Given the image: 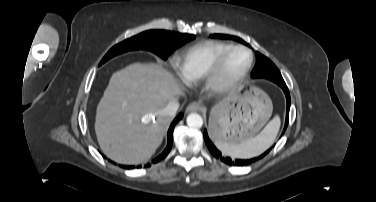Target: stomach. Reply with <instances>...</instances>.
Wrapping results in <instances>:
<instances>
[{
  "label": "stomach",
  "instance_id": "0dacf381",
  "mask_svg": "<svg viewBox=\"0 0 376 202\" xmlns=\"http://www.w3.org/2000/svg\"><path fill=\"white\" fill-rule=\"evenodd\" d=\"M272 102L258 88L236 91L211 111L209 131L215 141L240 144L252 139L269 120Z\"/></svg>",
  "mask_w": 376,
  "mask_h": 202
}]
</instances>
